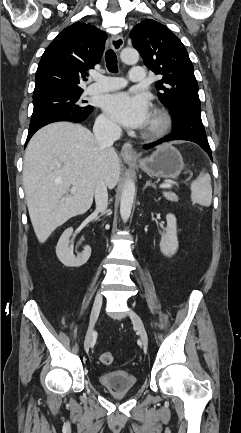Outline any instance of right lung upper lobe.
<instances>
[{"mask_svg": "<svg viewBox=\"0 0 241 433\" xmlns=\"http://www.w3.org/2000/svg\"><path fill=\"white\" fill-rule=\"evenodd\" d=\"M107 34L76 22L47 47L38 65L33 97L56 91H82L80 81L99 63Z\"/></svg>", "mask_w": 241, "mask_h": 433, "instance_id": "right-lung-upper-lobe-1", "label": "right lung upper lobe"}]
</instances>
